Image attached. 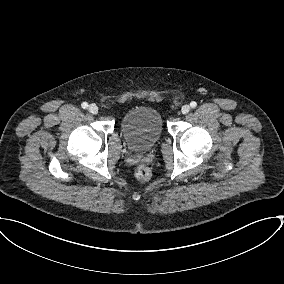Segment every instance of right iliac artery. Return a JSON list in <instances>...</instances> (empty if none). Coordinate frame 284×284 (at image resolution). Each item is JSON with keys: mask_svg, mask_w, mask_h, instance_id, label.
Segmentation results:
<instances>
[{"mask_svg": "<svg viewBox=\"0 0 284 284\" xmlns=\"http://www.w3.org/2000/svg\"><path fill=\"white\" fill-rule=\"evenodd\" d=\"M81 106H82L83 109H87L88 108V103L87 102H83L81 104Z\"/></svg>", "mask_w": 284, "mask_h": 284, "instance_id": "obj_1", "label": "right iliac artery"}]
</instances>
